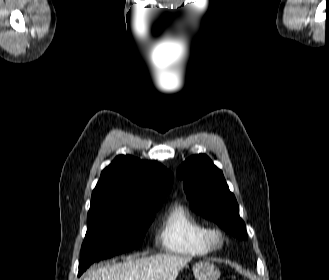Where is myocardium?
Instances as JSON below:
<instances>
[{"instance_id":"f54148a6","label":"myocardium","mask_w":329,"mask_h":280,"mask_svg":"<svg viewBox=\"0 0 329 280\" xmlns=\"http://www.w3.org/2000/svg\"><path fill=\"white\" fill-rule=\"evenodd\" d=\"M224 233L220 228L210 227L205 231V239L212 249H219L224 244Z\"/></svg>"}]
</instances>
